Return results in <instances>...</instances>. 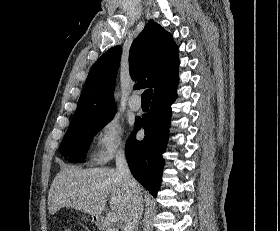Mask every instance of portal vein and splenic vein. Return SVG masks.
<instances>
[{"label":"portal vein and splenic vein","mask_w":280,"mask_h":231,"mask_svg":"<svg viewBox=\"0 0 280 231\" xmlns=\"http://www.w3.org/2000/svg\"><path fill=\"white\" fill-rule=\"evenodd\" d=\"M107 219L108 221H112V223H115V221H119V215H117L115 211H109V213H107Z\"/></svg>","instance_id":"18ae733b"}]
</instances>
